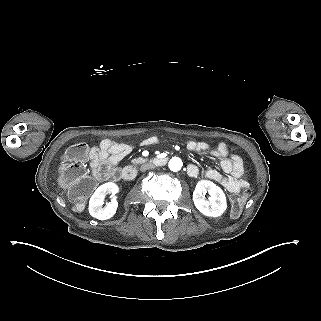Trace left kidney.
Listing matches in <instances>:
<instances>
[{"instance_id": "left-kidney-1", "label": "left kidney", "mask_w": 321, "mask_h": 321, "mask_svg": "<svg viewBox=\"0 0 321 321\" xmlns=\"http://www.w3.org/2000/svg\"><path fill=\"white\" fill-rule=\"evenodd\" d=\"M210 195L209 201L205 194ZM193 202L196 209L207 217H220L227 210V200L224 191L209 180H200L193 193Z\"/></svg>"}]
</instances>
